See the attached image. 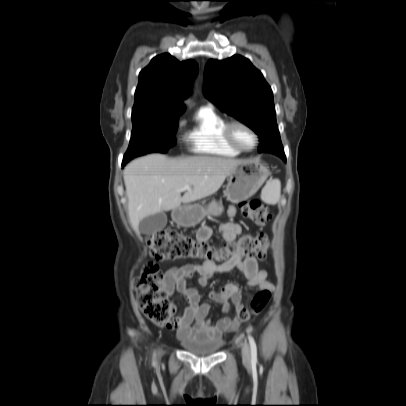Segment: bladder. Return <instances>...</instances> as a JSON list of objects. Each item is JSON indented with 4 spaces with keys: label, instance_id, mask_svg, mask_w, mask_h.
Wrapping results in <instances>:
<instances>
[{
    "label": "bladder",
    "instance_id": "1",
    "mask_svg": "<svg viewBox=\"0 0 406 406\" xmlns=\"http://www.w3.org/2000/svg\"><path fill=\"white\" fill-rule=\"evenodd\" d=\"M180 343L185 351L199 356L214 354L218 351V349L221 346L220 343L215 341L196 340L188 338H181Z\"/></svg>",
    "mask_w": 406,
    "mask_h": 406
}]
</instances>
